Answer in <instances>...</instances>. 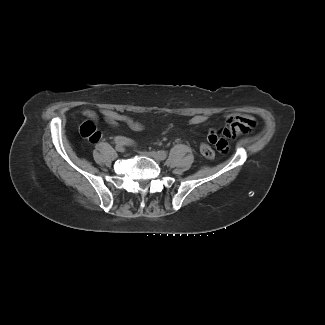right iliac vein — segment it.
<instances>
[{"label": "right iliac vein", "instance_id": "1", "mask_svg": "<svg viewBox=\"0 0 325 325\" xmlns=\"http://www.w3.org/2000/svg\"><path fill=\"white\" fill-rule=\"evenodd\" d=\"M116 150L119 152H124L125 148L123 146H116Z\"/></svg>", "mask_w": 325, "mask_h": 325}]
</instances>
